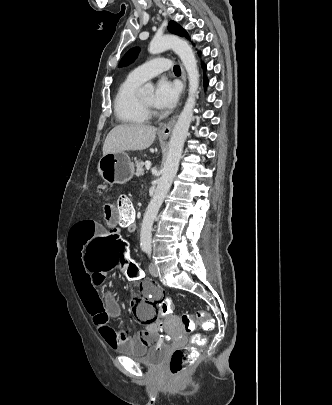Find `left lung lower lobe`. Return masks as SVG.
Masks as SVG:
<instances>
[{
  "label": "left lung lower lobe",
  "instance_id": "0a47b994",
  "mask_svg": "<svg viewBox=\"0 0 332 405\" xmlns=\"http://www.w3.org/2000/svg\"><path fill=\"white\" fill-rule=\"evenodd\" d=\"M203 69H206V66L202 64ZM208 84V80L204 78V85L206 86Z\"/></svg>",
  "mask_w": 332,
  "mask_h": 405
}]
</instances>
